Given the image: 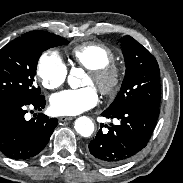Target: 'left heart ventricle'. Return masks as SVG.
Instances as JSON below:
<instances>
[{
  "label": "left heart ventricle",
  "mask_w": 183,
  "mask_h": 183,
  "mask_svg": "<svg viewBox=\"0 0 183 183\" xmlns=\"http://www.w3.org/2000/svg\"><path fill=\"white\" fill-rule=\"evenodd\" d=\"M85 84H86V85H91V84H93V80H92V78L90 77V75L88 76V78H87Z\"/></svg>",
  "instance_id": "b2bd125f"
}]
</instances>
